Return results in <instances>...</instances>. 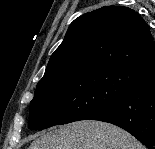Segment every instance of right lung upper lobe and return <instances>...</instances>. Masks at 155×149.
<instances>
[{"label": "right lung upper lobe", "instance_id": "1", "mask_svg": "<svg viewBox=\"0 0 155 149\" xmlns=\"http://www.w3.org/2000/svg\"><path fill=\"white\" fill-rule=\"evenodd\" d=\"M104 68L130 69L145 77L155 75L150 29L130 8L105 6L75 19L40 81Z\"/></svg>", "mask_w": 155, "mask_h": 149}]
</instances>
